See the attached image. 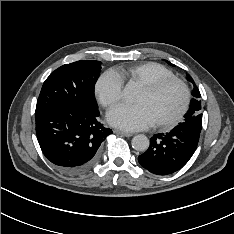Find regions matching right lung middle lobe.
I'll use <instances>...</instances> for the list:
<instances>
[{
	"mask_svg": "<svg viewBox=\"0 0 234 234\" xmlns=\"http://www.w3.org/2000/svg\"><path fill=\"white\" fill-rule=\"evenodd\" d=\"M101 69L100 61L81 60L65 64L43 83L36 111L58 105H68L88 112L97 110L94 86Z\"/></svg>",
	"mask_w": 234,
	"mask_h": 234,
	"instance_id": "right-lung-middle-lobe-1",
	"label": "right lung middle lobe"
}]
</instances>
